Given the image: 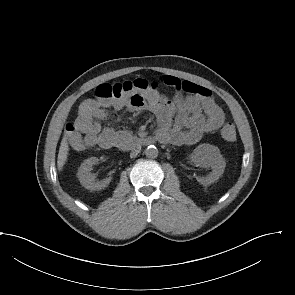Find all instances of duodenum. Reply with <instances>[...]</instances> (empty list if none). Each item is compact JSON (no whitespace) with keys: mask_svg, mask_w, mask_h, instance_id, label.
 I'll list each match as a JSON object with an SVG mask.
<instances>
[{"mask_svg":"<svg viewBox=\"0 0 295 295\" xmlns=\"http://www.w3.org/2000/svg\"><path fill=\"white\" fill-rule=\"evenodd\" d=\"M168 143V140L163 137H137L128 134L121 135L113 144V146H119L123 148H135L149 146L152 143Z\"/></svg>","mask_w":295,"mask_h":295,"instance_id":"obj_1","label":"duodenum"}]
</instances>
